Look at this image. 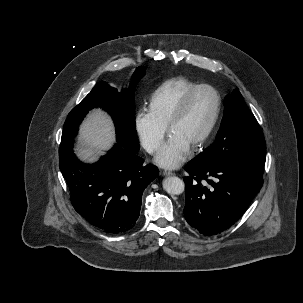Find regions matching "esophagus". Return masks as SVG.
<instances>
[{
  "label": "esophagus",
  "instance_id": "34e87169",
  "mask_svg": "<svg viewBox=\"0 0 303 303\" xmlns=\"http://www.w3.org/2000/svg\"><path fill=\"white\" fill-rule=\"evenodd\" d=\"M162 174H163L164 176H171V175H174V172L168 171V170H164V171L162 172Z\"/></svg>",
  "mask_w": 303,
  "mask_h": 303
}]
</instances>
